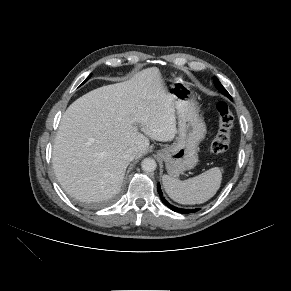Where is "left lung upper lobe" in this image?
Here are the masks:
<instances>
[{
  "mask_svg": "<svg viewBox=\"0 0 291 291\" xmlns=\"http://www.w3.org/2000/svg\"><path fill=\"white\" fill-rule=\"evenodd\" d=\"M213 81H214V84H215L216 88H217L221 93H223L225 96H227L229 99L232 100L230 94H229V93L227 92V90H226V89L221 85V83L219 82V80H218L216 77L213 78Z\"/></svg>",
  "mask_w": 291,
  "mask_h": 291,
  "instance_id": "obj_1",
  "label": "left lung upper lobe"
}]
</instances>
